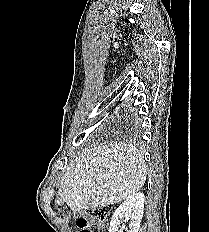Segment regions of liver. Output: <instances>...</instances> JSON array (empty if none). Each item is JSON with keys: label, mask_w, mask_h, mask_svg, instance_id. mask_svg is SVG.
I'll return each mask as SVG.
<instances>
[{"label": "liver", "mask_w": 209, "mask_h": 232, "mask_svg": "<svg viewBox=\"0 0 209 232\" xmlns=\"http://www.w3.org/2000/svg\"><path fill=\"white\" fill-rule=\"evenodd\" d=\"M147 168L133 145L89 146L70 163L58 196L73 212L126 200L144 185Z\"/></svg>", "instance_id": "6515ba94"}]
</instances>
